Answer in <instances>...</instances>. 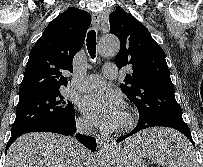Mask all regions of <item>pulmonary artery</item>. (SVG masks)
<instances>
[{
	"mask_svg": "<svg viewBox=\"0 0 203 167\" xmlns=\"http://www.w3.org/2000/svg\"><path fill=\"white\" fill-rule=\"evenodd\" d=\"M118 74V68L114 64H105L103 67V76L89 75L80 80L76 86L80 90L91 91L101 89L105 86V79H113Z\"/></svg>",
	"mask_w": 203,
	"mask_h": 167,
	"instance_id": "e3ab8cb5",
	"label": "pulmonary artery"
}]
</instances>
